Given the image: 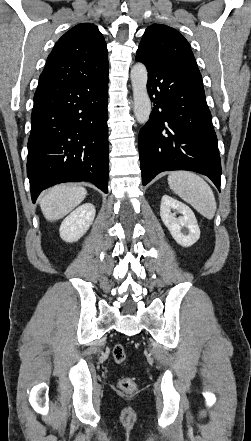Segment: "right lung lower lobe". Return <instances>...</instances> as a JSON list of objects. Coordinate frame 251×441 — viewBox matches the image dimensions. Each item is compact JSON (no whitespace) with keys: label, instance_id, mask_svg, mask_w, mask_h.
I'll return each mask as SVG.
<instances>
[{"label":"right lung lower lobe","instance_id":"right-lung-lower-lobe-1","mask_svg":"<svg viewBox=\"0 0 251 441\" xmlns=\"http://www.w3.org/2000/svg\"><path fill=\"white\" fill-rule=\"evenodd\" d=\"M108 69L71 80L39 81L28 140L33 203L63 182L88 181L108 192Z\"/></svg>","mask_w":251,"mask_h":441}]
</instances>
